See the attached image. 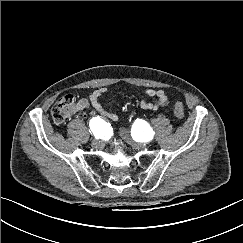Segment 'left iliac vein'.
<instances>
[{
	"label": "left iliac vein",
	"mask_w": 243,
	"mask_h": 243,
	"mask_svg": "<svg viewBox=\"0 0 243 243\" xmlns=\"http://www.w3.org/2000/svg\"><path fill=\"white\" fill-rule=\"evenodd\" d=\"M120 135H121V137H122L126 142H128L129 144H131V145L134 146V147L141 148V147H144V146H145V144H143V143L135 142V141L131 138V136H130V132H129L127 129H125V128H121V129H120Z\"/></svg>",
	"instance_id": "1"
}]
</instances>
